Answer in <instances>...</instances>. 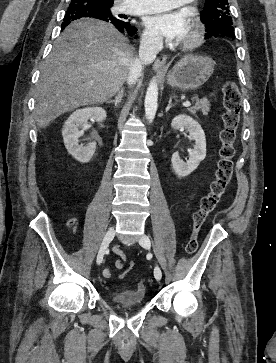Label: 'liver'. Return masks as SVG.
I'll return each mask as SVG.
<instances>
[{"mask_svg":"<svg viewBox=\"0 0 276 363\" xmlns=\"http://www.w3.org/2000/svg\"><path fill=\"white\" fill-rule=\"evenodd\" d=\"M135 52L110 23L82 18L56 39L41 67L35 91V120L46 128L78 107L102 104L128 79Z\"/></svg>","mask_w":276,"mask_h":363,"instance_id":"6515ba94","label":"liver"}]
</instances>
